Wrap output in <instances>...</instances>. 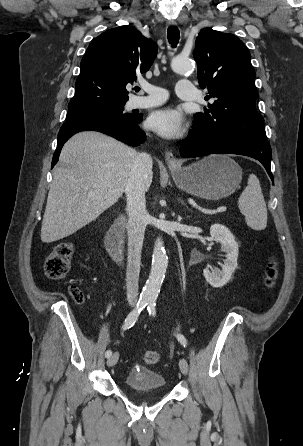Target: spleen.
<instances>
[{"label": "spleen", "mask_w": 303, "mask_h": 446, "mask_svg": "<svg viewBox=\"0 0 303 446\" xmlns=\"http://www.w3.org/2000/svg\"><path fill=\"white\" fill-rule=\"evenodd\" d=\"M240 212L245 216L247 225L254 230L267 226V208L260 182L256 175L250 174L248 184L238 200Z\"/></svg>", "instance_id": "1"}]
</instances>
